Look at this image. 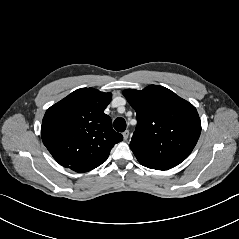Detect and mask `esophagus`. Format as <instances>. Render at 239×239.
Here are the masks:
<instances>
[{
    "mask_svg": "<svg viewBox=\"0 0 239 239\" xmlns=\"http://www.w3.org/2000/svg\"><path fill=\"white\" fill-rule=\"evenodd\" d=\"M128 137H129V130H126L123 132V138H124V140H127Z\"/></svg>",
    "mask_w": 239,
    "mask_h": 239,
    "instance_id": "esophagus-1",
    "label": "esophagus"
}]
</instances>
